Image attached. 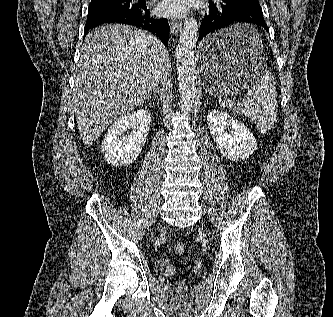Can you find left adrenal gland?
<instances>
[{
	"instance_id": "1",
	"label": "left adrenal gland",
	"mask_w": 333,
	"mask_h": 317,
	"mask_svg": "<svg viewBox=\"0 0 333 317\" xmlns=\"http://www.w3.org/2000/svg\"><path fill=\"white\" fill-rule=\"evenodd\" d=\"M207 105H211V103L209 102V99H207L206 104H205V107H206Z\"/></svg>"
}]
</instances>
